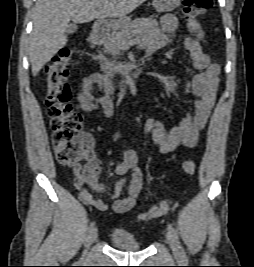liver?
I'll return each instance as SVG.
<instances>
[{
	"label": "liver",
	"mask_w": 254,
	"mask_h": 267,
	"mask_svg": "<svg viewBox=\"0 0 254 267\" xmlns=\"http://www.w3.org/2000/svg\"><path fill=\"white\" fill-rule=\"evenodd\" d=\"M144 2L146 0H38L29 38L33 76L66 45V27L71 20L87 23L94 19L124 18ZM99 6L102 8L97 11Z\"/></svg>",
	"instance_id": "obj_1"
}]
</instances>
